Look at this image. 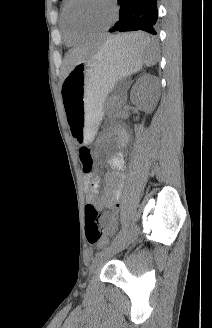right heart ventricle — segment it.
Wrapping results in <instances>:
<instances>
[{
    "label": "right heart ventricle",
    "instance_id": "e07e8e85",
    "mask_svg": "<svg viewBox=\"0 0 212 328\" xmlns=\"http://www.w3.org/2000/svg\"><path fill=\"white\" fill-rule=\"evenodd\" d=\"M67 1H65L63 8H62V14H61V28H62V32H63V36H64V40L66 42V44L68 45H73L81 40H83L85 37H87L86 35H75L73 33L70 32L67 23H66V19H65V6H66Z\"/></svg>",
    "mask_w": 212,
    "mask_h": 328
}]
</instances>
